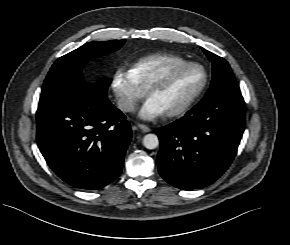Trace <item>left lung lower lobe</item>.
Listing matches in <instances>:
<instances>
[{
	"mask_svg": "<svg viewBox=\"0 0 290 245\" xmlns=\"http://www.w3.org/2000/svg\"><path fill=\"white\" fill-rule=\"evenodd\" d=\"M244 129L241 94L201 101L181 119L156 130L160 175L183 190L212 184L233 161Z\"/></svg>",
	"mask_w": 290,
	"mask_h": 245,
	"instance_id": "obj_1",
	"label": "left lung lower lobe"
}]
</instances>
